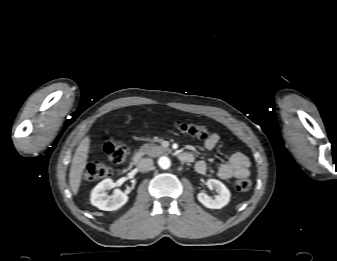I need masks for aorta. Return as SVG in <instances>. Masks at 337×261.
Listing matches in <instances>:
<instances>
[{"label":"aorta","instance_id":"aorta-1","mask_svg":"<svg viewBox=\"0 0 337 261\" xmlns=\"http://www.w3.org/2000/svg\"><path fill=\"white\" fill-rule=\"evenodd\" d=\"M158 165L162 168V169H168L171 166V161L168 157L166 156H162L159 158L158 160Z\"/></svg>","mask_w":337,"mask_h":261}]
</instances>
